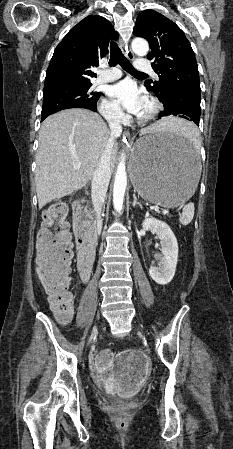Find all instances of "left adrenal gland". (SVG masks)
I'll list each match as a JSON object with an SVG mask.
<instances>
[{
    "mask_svg": "<svg viewBox=\"0 0 233 449\" xmlns=\"http://www.w3.org/2000/svg\"><path fill=\"white\" fill-rule=\"evenodd\" d=\"M133 199H134V201H133V204H132V206L133 207H135V206H139L141 209L143 208V206H142V204L140 203V202H138L137 201V197H136V195L135 194H133Z\"/></svg>",
    "mask_w": 233,
    "mask_h": 449,
    "instance_id": "a2214340",
    "label": "left adrenal gland"
}]
</instances>
